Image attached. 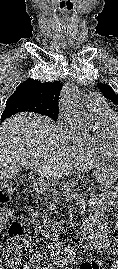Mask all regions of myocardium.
I'll list each match as a JSON object with an SVG mask.
<instances>
[{
	"label": "myocardium",
	"mask_w": 118,
	"mask_h": 269,
	"mask_svg": "<svg viewBox=\"0 0 118 269\" xmlns=\"http://www.w3.org/2000/svg\"><path fill=\"white\" fill-rule=\"evenodd\" d=\"M108 137L114 151L118 153V139L116 132L118 131V116L108 124Z\"/></svg>",
	"instance_id": "myocardium-1"
}]
</instances>
